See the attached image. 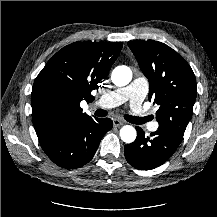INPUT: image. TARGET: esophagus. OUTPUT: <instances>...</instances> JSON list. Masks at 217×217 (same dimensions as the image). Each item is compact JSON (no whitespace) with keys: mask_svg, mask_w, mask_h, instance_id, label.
Masks as SVG:
<instances>
[{"mask_svg":"<svg viewBox=\"0 0 217 217\" xmlns=\"http://www.w3.org/2000/svg\"><path fill=\"white\" fill-rule=\"evenodd\" d=\"M124 124V122L122 121V120H120V119H114L113 120V125L115 126V127H119V126H122Z\"/></svg>","mask_w":217,"mask_h":217,"instance_id":"esophagus-1","label":"esophagus"}]
</instances>
